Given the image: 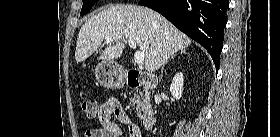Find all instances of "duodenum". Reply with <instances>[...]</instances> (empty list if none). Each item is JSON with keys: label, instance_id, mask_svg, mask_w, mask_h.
Instances as JSON below:
<instances>
[{"label": "duodenum", "instance_id": "obj_1", "mask_svg": "<svg viewBox=\"0 0 280 137\" xmlns=\"http://www.w3.org/2000/svg\"><path fill=\"white\" fill-rule=\"evenodd\" d=\"M125 83L129 88L137 89L145 87L152 90L158 86V80L155 77L141 73L136 70L128 71L125 75ZM155 125V115L153 112H147L143 118V126L146 130L153 129Z\"/></svg>", "mask_w": 280, "mask_h": 137}]
</instances>
